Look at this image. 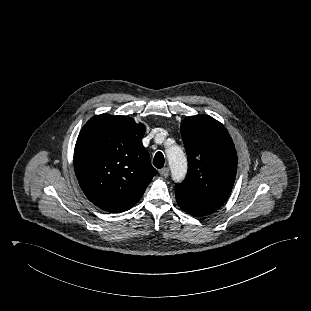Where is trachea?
<instances>
[{
    "instance_id": "1",
    "label": "trachea",
    "mask_w": 311,
    "mask_h": 311,
    "mask_svg": "<svg viewBox=\"0 0 311 311\" xmlns=\"http://www.w3.org/2000/svg\"><path fill=\"white\" fill-rule=\"evenodd\" d=\"M164 155L161 152H157L153 159V164L156 168L161 169L164 166Z\"/></svg>"
}]
</instances>
